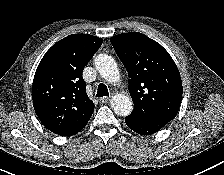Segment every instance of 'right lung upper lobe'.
<instances>
[{
	"label": "right lung upper lobe",
	"mask_w": 224,
	"mask_h": 175,
	"mask_svg": "<svg viewBox=\"0 0 224 175\" xmlns=\"http://www.w3.org/2000/svg\"><path fill=\"white\" fill-rule=\"evenodd\" d=\"M102 42L88 34L69 35L40 61L32 85L33 106L53 133L63 134L90 119L94 103L86 94L82 71Z\"/></svg>",
	"instance_id": "right-lung-upper-lobe-1"
}]
</instances>
